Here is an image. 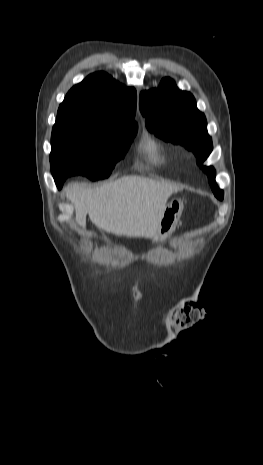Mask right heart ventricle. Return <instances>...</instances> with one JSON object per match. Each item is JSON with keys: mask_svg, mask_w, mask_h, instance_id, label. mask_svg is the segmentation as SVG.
<instances>
[{"mask_svg": "<svg viewBox=\"0 0 263 465\" xmlns=\"http://www.w3.org/2000/svg\"><path fill=\"white\" fill-rule=\"evenodd\" d=\"M142 150L147 158L155 163H162L165 161L163 148L154 139H146L142 144Z\"/></svg>", "mask_w": 263, "mask_h": 465, "instance_id": "right-heart-ventricle-1", "label": "right heart ventricle"}]
</instances>
